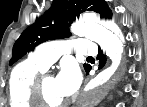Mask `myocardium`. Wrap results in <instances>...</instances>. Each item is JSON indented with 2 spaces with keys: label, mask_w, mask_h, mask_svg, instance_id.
<instances>
[{
  "label": "myocardium",
  "mask_w": 147,
  "mask_h": 107,
  "mask_svg": "<svg viewBox=\"0 0 147 107\" xmlns=\"http://www.w3.org/2000/svg\"><path fill=\"white\" fill-rule=\"evenodd\" d=\"M48 77H51V75L43 71L41 74L37 75V77L34 79L31 89H30V102L33 107H64L67 105L68 101H62L59 103L51 104L45 101L43 96V83L44 80Z\"/></svg>",
  "instance_id": "1"
}]
</instances>
